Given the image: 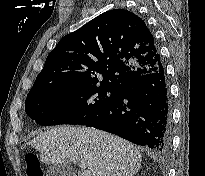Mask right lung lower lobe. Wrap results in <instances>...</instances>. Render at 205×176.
<instances>
[{"mask_svg": "<svg viewBox=\"0 0 205 176\" xmlns=\"http://www.w3.org/2000/svg\"><path fill=\"white\" fill-rule=\"evenodd\" d=\"M86 126L166 153L171 146V115L164 67L119 88L114 99Z\"/></svg>", "mask_w": 205, "mask_h": 176, "instance_id": "obj_1", "label": "right lung lower lobe"}]
</instances>
